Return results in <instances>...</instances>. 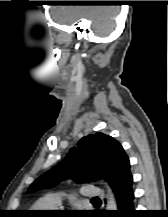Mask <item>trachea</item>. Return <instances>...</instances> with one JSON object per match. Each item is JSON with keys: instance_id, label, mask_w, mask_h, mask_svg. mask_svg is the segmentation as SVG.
<instances>
[{"instance_id": "1", "label": "trachea", "mask_w": 168, "mask_h": 217, "mask_svg": "<svg viewBox=\"0 0 168 217\" xmlns=\"http://www.w3.org/2000/svg\"><path fill=\"white\" fill-rule=\"evenodd\" d=\"M94 199H96V200H99V198H97V197H96V198H94Z\"/></svg>"}]
</instances>
